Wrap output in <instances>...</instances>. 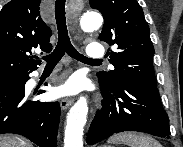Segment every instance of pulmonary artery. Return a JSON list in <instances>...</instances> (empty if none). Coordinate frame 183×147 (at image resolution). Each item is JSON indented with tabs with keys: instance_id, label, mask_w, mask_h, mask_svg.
Wrapping results in <instances>:
<instances>
[{
	"instance_id": "obj_1",
	"label": "pulmonary artery",
	"mask_w": 183,
	"mask_h": 147,
	"mask_svg": "<svg viewBox=\"0 0 183 147\" xmlns=\"http://www.w3.org/2000/svg\"><path fill=\"white\" fill-rule=\"evenodd\" d=\"M87 56L92 59H100L105 55V50L100 43H91L86 49Z\"/></svg>"
}]
</instances>
